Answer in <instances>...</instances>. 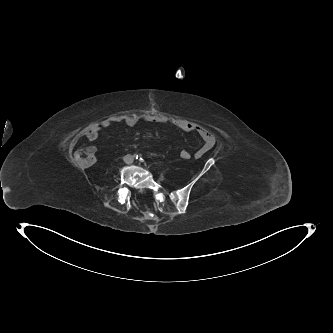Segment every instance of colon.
<instances>
[{
	"instance_id": "obj_1",
	"label": "colon",
	"mask_w": 333,
	"mask_h": 333,
	"mask_svg": "<svg viewBox=\"0 0 333 333\" xmlns=\"http://www.w3.org/2000/svg\"><path fill=\"white\" fill-rule=\"evenodd\" d=\"M179 155L182 159H191L192 153L185 150L180 149ZM74 160L77 165L81 167H89L95 162V150L93 148H80L74 154Z\"/></svg>"
}]
</instances>
